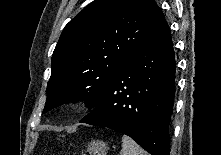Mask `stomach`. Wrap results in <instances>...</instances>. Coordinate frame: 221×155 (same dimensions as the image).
I'll return each instance as SVG.
<instances>
[{"mask_svg":"<svg viewBox=\"0 0 221 155\" xmlns=\"http://www.w3.org/2000/svg\"><path fill=\"white\" fill-rule=\"evenodd\" d=\"M107 151V144L100 140L90 142L87 147V152L90 155H106Z\"/></svg>","mask_w":221,"mask_h":155,"instance_id":"stomach-1","label":"stomach"}]
</instances>
